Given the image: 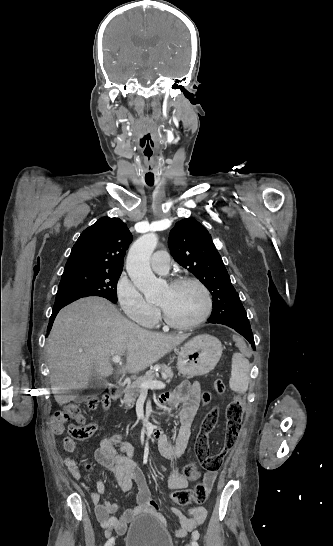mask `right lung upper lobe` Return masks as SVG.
<instances>
[{
  "label": "right lung upper lobe",
  "instance_id": "1",
  "mask_svg": "<svg viewBox=\"0 0 333 546\" xmlns=\"http://www.w3.org/2000/svg\"><path fill=\"white\" fill-rule=\"evenodd\" d=\"M132 235L119 218L102 217L82 232L63 275L77 272L123 270V258Z\"/></svg>",
  "mask_w": 333,
  "mask_h": 546
}]
</instances>
